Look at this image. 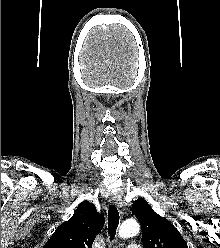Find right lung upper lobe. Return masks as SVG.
Wrapping results in <instances>:
<instances>
[{
	"label": "right lung upper lobe",
	"instance_id": "cb5924a9",
	"mask_svg": "<svg viewBox=\"0 0 220 248\" xmlns=\"http://www.w3.org/2000/svg\"><path fill=\"white\" fill-rule=\"evenodd\" d=\"M104 222L103 214L96 211L95 205L84 201L73 216L55 230L43 248H92Z\"/></svg>",
	"mask_w": 220,
	"mask_h": 248
}]
</instances>
